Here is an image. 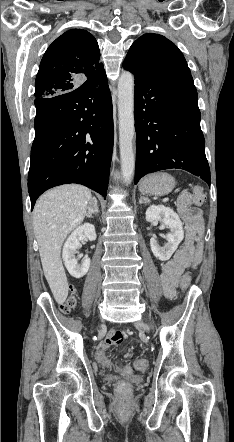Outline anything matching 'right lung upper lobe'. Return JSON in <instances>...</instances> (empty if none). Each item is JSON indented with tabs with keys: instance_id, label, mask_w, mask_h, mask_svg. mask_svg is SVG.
<instances>
[{
	"instance_id": "cb5924a9",
	"label": "right lung upper lobe",
	"mask_w": 234,
	"mask_h": 442,
	"mask_svg": "<svg viewBox=\"0 0 234 442\" xmlns=\"http://www.w3.org/2000/svg\"><path fill=\"white\" fill-rule=\"evenodd\" d=\"M99 59L100 50L92 34L81 29L65 32L48 47L41 60L35 97L73 91L82 78L89 80L105 72Z\"/></svg>"
}]
</instances>
